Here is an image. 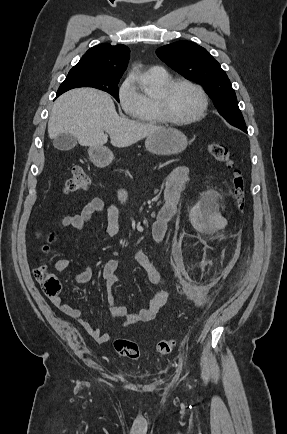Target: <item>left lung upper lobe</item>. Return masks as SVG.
I'll return each mask as SVG.
<instances>
[{"instance_id":"5c2ea615","label":"left lung upper lobe","mask_w":287,"mask_h":434,"mask_svg":"<svg viewBox=\"0 0 287 434\" xmlns=\"http://www.w3.org/2000/svg\"><path fill=\"white\" fill-rule=\"evenodd\" d=\"M156 54L185 78L201 84L228 123L246 126L230 80L206 49L191 41H178L158 48Z\"/></svg>"}]
</instances>
